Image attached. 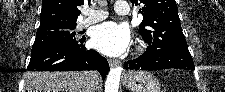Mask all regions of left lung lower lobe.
Instances as JSON below:
<instances>
[{
	"label": "left lung lower lobe",
	"mask_w": 225,
	"mask_h": 92,
	"mask_svg": "<svg viewBox=\"0 0 225 92\" xmlns=\"http://www.w3.org/2000/svg\"><path fill=\"white\" fill-rule=\"evenodd\" d=\"M125 69L160 70L167 68L193 70L194 63L188 48H155L152 45L137 59L124 64Z\"/></svg>",
	"instance_id": "obj_1"
}]
</instances>
